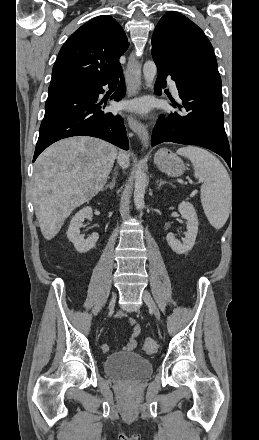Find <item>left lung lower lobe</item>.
<instances>
[{"label":"left lung lower lobe","instance_id":"obj_1","mask_svg":"<svg viewBox=\"0 0 259 440\" xmlns=\"http://www.w3.org/2000/svg\"><path fill=\"white\" fill-rule=\"evenodd\" d=\"M158 70L155 92L165 87L169 75L176 82L182 104L173 102L186 115L176 112L160 116L153 130L151 145L162 142L197 145L219 154L231 167L229 142L224 129L221 84L207 78L180 79L165 62L153 57Z\"/></svg>","mask_w":259,"mask_h":440}]
</instances>
